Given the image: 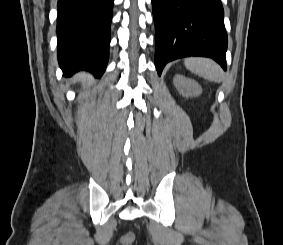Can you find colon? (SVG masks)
<instances>
[{"label": "colon", "instance_id": "obj_1", "mask_svg": "<svg viewBox=\"0 0 283 245\" xmlns=\"http://www.w3.org/2000/svg\"><path fill=\"white\" fill-rule=\"evenodd\" d=\"M135 233L128 232L120 238V245H131L135 241Z\"/></svg>", "mask_w": 283, "mask_h": 245}]
</instances>
